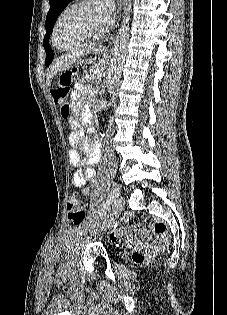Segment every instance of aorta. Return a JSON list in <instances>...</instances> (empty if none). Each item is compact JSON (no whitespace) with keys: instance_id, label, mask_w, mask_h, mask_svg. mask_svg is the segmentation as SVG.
I'll list each match as a JSON object with an SVG mask.
<instances>
[{"instance_id":"1","label":"aorta","mask_w":227,"mask_h":315,"mask_svg":"<svg viewBox=\"0 0 227 315\" xmlns=\"http://www.w3.org/2000/svg\"><path fill=\"white\" fill-rule=\"evenodd\" d=\"M132 0H124L123 20L116 35V40L111 51L110 64L107 71V86L110 90L118 83L127 55L128 41L130 38V12Z\"/></svg>"}]
</instances>
